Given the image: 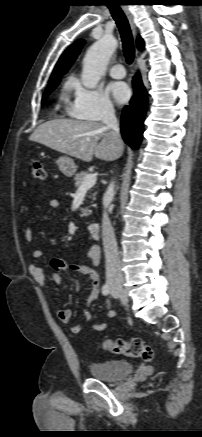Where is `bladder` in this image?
Returning a JSON list of instances; mask_svg holds the SVG:
<instances>
[{
    "mask_svg": "<svg viewBox=\"0 0 202 437\" xmlns=\"http://www.w3.org/2000/svg\"><path fill=\"white\" fill-rule=\"evenodd\" d=\"M89 369L91 375L98 380L117 382L130 376L134 371V366L126 360H107L93 362Z\"/></svg>",
    "mask_w": 202,
    "mask_h": 437,
    "instance_id": "31cf9c89",
    "label": "bladder"
}]
</instances>
